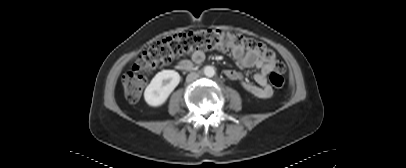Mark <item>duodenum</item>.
<instances>
[{
    "instance_id": "obj_1",
    "label": "duodenum",
    "mask_w": 406,
    "mask_h": 168,
    "mask_svg": "<svg viewBox=\"0 0 406 168\" xmlns=\"http://www.w3.org/2000/svg\"><path fill=\"white\" fill-rule=\"evenodd\" d=\"M177 67L180 71L188 72L193 69V64L189 61H181Z\"/></svg>"
}]
</instances>
